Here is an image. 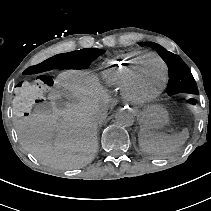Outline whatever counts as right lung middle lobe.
<instances>
[{"mask_svg":"<svg viewBox=\"0 0 211 211\" xmlns=\"http://www.w3.org/2000/svg\"><path fill=\"white\" fill-rule=\"evenodd\" d=\"M105 51L101 49H83L80 50L82 61L84 62V67H88L90 63L95 60L98 56L103 54Z\"/></svg>","mask_w":211,"mask_h":211,"instance_id":"right-lung-middle-lobe-1","label":"right lung middle lobe"}]
</instances>
